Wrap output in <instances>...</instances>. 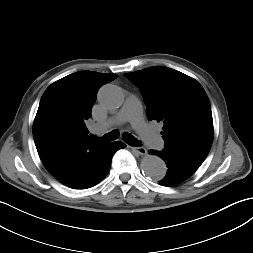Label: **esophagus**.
I'll return each mask as SVG.
<instances>
[{"label":"esophagus","instance_id":"1","mask_svg":"<svg viewBox=\"0 0 253 253\" xmlns=\"http://www.w3.org/2000/svg\"><path fill=\"white\" fill-rule=\"evenodd\" d=\"M131 149L133 151H135L136 153L140 154V155H145L147 153V150L142 146H140V147H131Z\"/></svg>","mask_w":253,"mask_h":253}]
</instances>
